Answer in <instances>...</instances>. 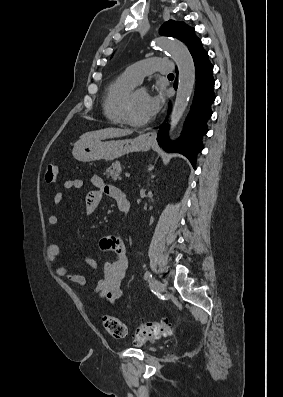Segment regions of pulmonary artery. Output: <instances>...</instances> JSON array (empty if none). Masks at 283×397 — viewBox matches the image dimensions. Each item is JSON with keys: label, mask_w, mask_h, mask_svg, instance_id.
Listing matches in <instances>:
<instances>
[{"label": "pulmonary artery", "mask_w": 283, "mask_h": 397, "mask_svg": "<svg viewBox=\"0 0 283 397\" xmlns=\"http://www.w3.org/2000/svg\"><path fill=\"white\" fill-rule=\"evenodd\" d=\"M172 70L171 62L167 59L152 57L138 61L126 68L124 74L136 84L154 72L168 74Z\"/></svg>", "instance_id": "obj_1"}]
</instances>
